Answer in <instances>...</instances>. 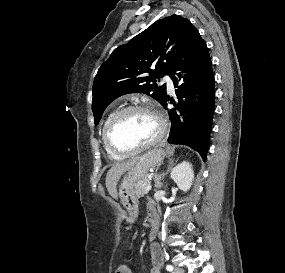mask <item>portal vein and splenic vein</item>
<instances>
[{
  "mask_svg": "<svg viewBox=\"0 0 285 273\" xmlns=\"http://www.w3.org/2000/svg\"><path fill=\"white\" fill-rule=\"evenodd\" d=\"M151 188H152L151 184H147L145 191L149 192L151 190Z\"/></svg>",
  "mask_w": 285,
  "mask_h": 273,
  "instance_id": "1",
  "label": "portal vein and splenic vein"
}]
</instances>
